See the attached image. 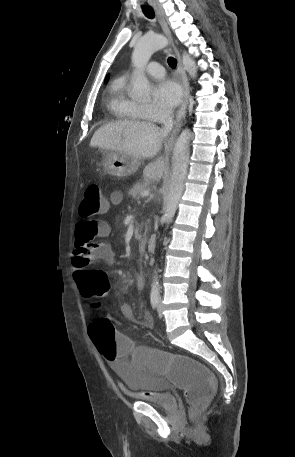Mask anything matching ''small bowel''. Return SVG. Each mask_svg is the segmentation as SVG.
Wrapping results in <instances>:
<instances>
[{"label":"small bowel","mask_w":295,"mask_h":457,"mask_svg":"<svg viewBox=\"0 0 295 457\" xmlns=\"http://www.w3.org/2000/svg\"><path fill=\"white\" fill-rule=\"evenodd\" d=\"M123 195L120 191L111 193L109 203L113 206H118L122 203ZM111 228L105 220L92 219L88 221H80L75 228V255L72 259V276L78 289L83 295V289L87 286V271L90 267L98 262H104L108 265H113L116 262L115 254L109 243L96 238H106L110 235ZM80 248L88 249L84 258L86 263L83 266H77L76 261L81 255L76 251ZM144 280L141 276L136 277V286L142 290L144 288ZM121 313L127 319L134 318L133 308L130 304L124 303L121 305ZM92 340V338H91ZM93 341V340H92ZM129 341H132L129 338ZM94 343V342H93ZM112 362V360H110ZM113 363V362H112Z\"/></svg>","instance_id":"c3829d8e"}]
</instances>
